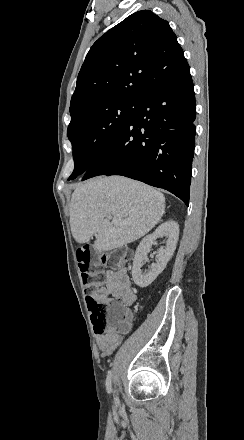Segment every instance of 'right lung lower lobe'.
Returning a JSON list of instances; mask_svg holds the SVG:
<instances>
[{
	"label": "right lung lower lobe",
	"mask_w": 244,
	"mask_h": 440,
	"mask_svg": "<svg viewBox=\"0 0 244 440\" xmlns=\"http://www.w3.org/2000/svg\"><path fill=\"white\" fill-rule=\"evenodd\" d=\"M196 105L187 61L149 84L133 117L83 174L122 175L163 188L189 204Z\"/></svg>",
	"instance_id": "1"
}]
</instances>
